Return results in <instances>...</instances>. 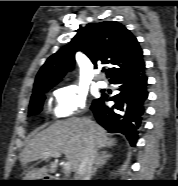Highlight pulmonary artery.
<instances>
[{"label": "pulmonary artery", "instance_id": "obj_1", "mask_svg": "<svg viewBox=\"0 0 178 186\" xmlns=\"http://www.w3.org/2000/svg\"><path fill=\"white\" fill-rule=\"evenodd\" d=\"M97 85H98L100 88H105V87L107 86V83H106L105 80L100 79V80H98Z\"/></svg>", "mask_w": 178, "mask_h": 186}]
</instances>
